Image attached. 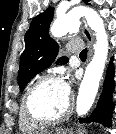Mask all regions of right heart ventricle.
I'll use <instances>...</instances> for the list:
<instances>
[{"instance_id": "1", "label": "right heart ventricle", "mask_w": 116, "mask_h": 134, "mask_svg": "<svg viewBox=\"0 0 116 134\" xmlns=\"http://www.w3.org/2000/svg\"><path fill=\"white\" fill-rule=\"evenodd\" d=\"M27 90V89H26ZM26 92V91H25ZM25 94V93H24ZM23 94V96H24ZM23 96L21 98V102H20V108H19V114H18V126L19 129L23 132V133H33L35 131H37L39 129V125L32 123L31 121H29L27 119V117L25 116L24 112H23V108H22V100H23Z\"/></svg>"}]
</instances>
